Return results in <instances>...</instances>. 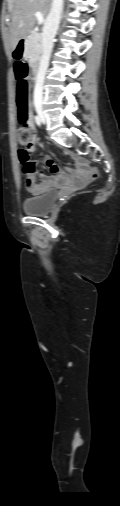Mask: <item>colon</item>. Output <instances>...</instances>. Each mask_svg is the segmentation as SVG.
Masks as SVG:
<instances>
[{
    "mask_svg": "<svg viewBox=\"0 0 120 506\" xmlns=\"http://www.w3.org/2000/svg\"><path fill=\"white\" fill-rule=\"evenodd\" d=\"M14 49L11 52V57L15 64L18 65L13 71V78L17 80L16 84V105H17V118L24 124L17 132V138L20 144L23 145L21 155L23 158H30L31 151L34 148V138L29 129L30 115H29V83L27 81L28 68L26 66L28 57L25 54L23 58H16L14 56ZM81 167L88 170L92 177H98V170L96 167L82 162Z\"/></svg>",
    "mask_w": 120,
    "mask_h": 506,
    "instance_id": "1",
    "label": "colon"
}]
</instances>
